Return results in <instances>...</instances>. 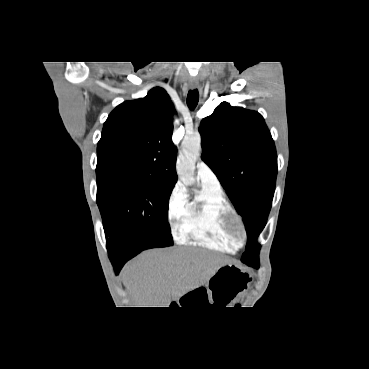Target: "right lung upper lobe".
<instances>
[{
    "label": "right lung upper lobe",
    "instance_id": "1",
    "mask_svg": "<svg viewBox=\"0 0 369 369\" xmlns=\"http://www.w3.org/2000/svg\"><path fill=\"white\" fill-rule=\"evenodd\" d=\"M172 114L171 100L160 87L144 98L118 105L104 123L96 169L135 171L175 185Z\"/></svg>",
    "mask_w": 369,
    "mask_h": 369
}]
</instances>
